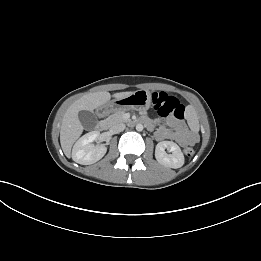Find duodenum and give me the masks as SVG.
Masks as SVG:
<instances>
[{"label":"duodenum","instance_id":"duodenum-1","mask_svg":"<svg viewBox=\"0 0 261 261\" xmlns=\"http://www.w3.org/2000/svg\"><path fill=\"white\" fill-rule=\"evenodd\" d=\"M111 109L110 106H104L99 109V114L103 115L107 113ZM106 128V123L104 121H99L96 125V130L102 131Z\"/></svg>","mask_w":261,"mask_h":261}]
</instances>
